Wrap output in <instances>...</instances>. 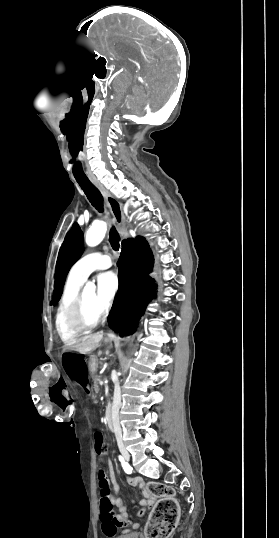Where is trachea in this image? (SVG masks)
<instances>
[{
    "instance_id": "trachea-1",
    "label": "trachea",
    "mask_w": 279,
    "mask_h": 538,
    "mask_svg": "<svg viewBox=\"0 0 279 538\" xmlns=\"http://www.w3.org/2000/svg\"><path fill=\"white\" fill-rule=\"evenodd\" d=\"M77 183H79L80 187L84 191L85 195L87 196L89 202L93 205V207L98 210V212L103 213L104 207H103V198L93 183L88 179V177H75ZM119 241L120 237L118 232L116 231L115 227L112 226L109 232V242L113 248V250H118L119 248Z\"/></svg>"
}]
</instances>
